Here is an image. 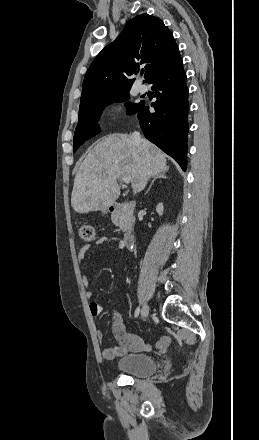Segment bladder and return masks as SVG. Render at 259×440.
<instances>
[{
  "label": "bladder",
  "mask_w": 259,
  "mask_h": 440,
  "mask_svg": "<svg viewBox=\"0 0 259 440\" xmlns=\"http://www.w3.org/2000/svg\"><path fill=\"white\" fill-rule=\"evenodd\" d=\"M119 372L132 377L146 378L156 373V360L146 353H129L120 357L116 362Z\"/></svg>",
  "instance_id": "obj_1"
}]
</instances>
